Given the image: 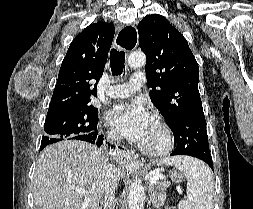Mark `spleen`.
<instances>
[{"instance_id": "3e777b00", "label": "spleen", "mask_w": 253, "mask_h": 209, "mask_svg": "<svg viewBox=\"0 0 253 209\" xmlns=\"http://www.w3.org/2000/svg\"><path fill=\"white\" fill-rule=\"evenodd\" d=\"M159 165L175 166L187 179V197L179 202V209H212L214 181L209 167L201 160L187 157H168Z\"/></svg>"}]
</instances>
